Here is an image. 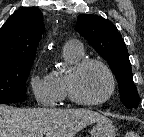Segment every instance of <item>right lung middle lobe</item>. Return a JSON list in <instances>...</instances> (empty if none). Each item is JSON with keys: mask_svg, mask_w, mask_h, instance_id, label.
Listing matches in <instances>:
<instances>
[{"mask_svg": "<svg viewBox=\"0 0 144 137\" xmlns=\"http://www.w3.org/2000/svg\"><path fill=\"white\" fill-rule=\"evenodd\" d=\"M34 59L0 63V104L27 99L26 80Z\"/></svg>", "mask_w": 144, "mask_h": 137, "instance_id": "right-lung-middle-lobe-1", "label": "right lung middle lobe"}]
</instances>
